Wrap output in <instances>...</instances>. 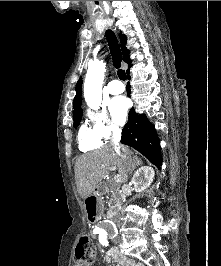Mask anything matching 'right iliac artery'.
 Segmentation results:
<instances>
[{
	"label": "right iliac artery",
	"mask_w": 221,
	"mask_h": 266,
	"mask_svg": "<svg viewBox=\"0 0 221 266\" xmlns=\"http://www.w3.org/2000/svg\"><path fill=\"white\" fill-rule=\"evenodd\" d=\"M100 232H102V231H99V230L94 231V233H96V234H99Z\"/></svg>",
	"instance_id": "82829eb1"
}]
</instances>
